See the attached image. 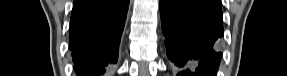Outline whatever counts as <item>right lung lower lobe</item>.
<instances>
[{
	"instance_id": "98d812e1",
	"label": "right lung lower lobe",
	"mask_w": 287,
	"mask_h": 76,
	"mask_svg": "<svg viewBox=\"0 0 287 76\" xmlns=\"http://www.w3.org/2000/svg\"><path fill=\"white\" fill-rule=\"evenodd\" d=\"M128 5L129 0H74L69 44L79 76H104L117 62Z\"/></svg>"
}]
</instances>
